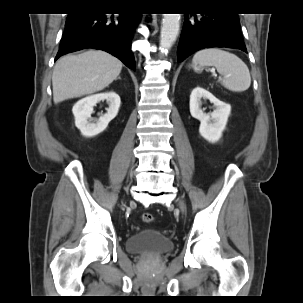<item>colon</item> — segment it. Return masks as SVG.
Instances as JSON below:
<instances>
[{"mask_svg": "<svg viewBox=\"0 0 303 303\" xmlns=\"http://www.w3.org/2000/svg\"><path fill=\"white\" fill-rule=\"evenodd\" d=\"M154 217L151 213H143L142 214V221L145 223H151L153 222Z\"/></svg>", "mask_w": 303, "mask_h": 303, "instance_id": "1", "label": "colon"}]
</instances>
